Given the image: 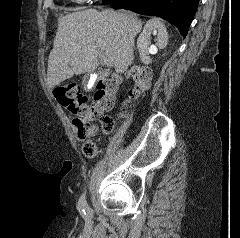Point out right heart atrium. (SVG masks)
<instances>
[{
    "instance_id": "right-heart-atrium-1",
    "label": "right heart atrium",
    "mask_w": 240,
    "mask_h": 238,
    "mask_svg": "<svg viewBox=\"0 0 240 238\" xmlns=\"http://www.w3.org/2000/svg\"><path fill=\"white\" fill-rule=\"evenodd\" d=\"M74 1H76L78 3H90V2L95 1V0H74Z\"/></svg>"
}]
</instances>
